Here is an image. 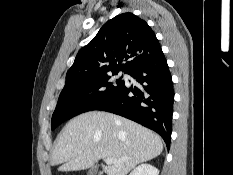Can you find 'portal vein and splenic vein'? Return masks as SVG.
Wrapping results in <instances>:
<instances>
[{"mask_svg":"<svg viewBox=\"0 0 233 175\" xmlns=\"http://www.w3.org/2000/svg\"><path fill=\"white\" fill-rule=\"evenodd\" d=\"M106 164H114L117 163L118 161L114 160L113 158H106L105 159Z\"/></svg>","mask_w":233,"mask_h":175,"instance_id":"portal-vein-and-splenic-vein-1","label":"portal vein and splenic vein"}]
</instances>
